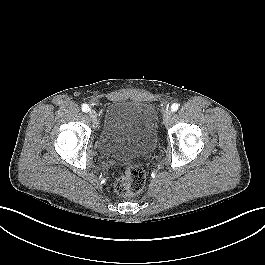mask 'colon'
<instances>
[{
  "label": "colon",
  "mask_w": 265,
  "mask_h": 265,
  "mask_svg": "<svg viewBox=\"0 0 265 265\" xmlns=\"http://www.w3.org/2000/svg\"><path fill=\"white\" fill-rule=\"evenodd\" d=\"M145 171L140 166H130L115 180L114 188L123 197L138 195L144 188Z\"/></svg>",
  "instance_id": "obj_1"
}]
</instances>
